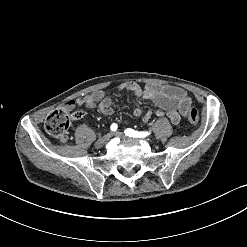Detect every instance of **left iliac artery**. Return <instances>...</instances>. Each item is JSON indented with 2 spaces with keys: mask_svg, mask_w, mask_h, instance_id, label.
Segmentation results:
<instances>
[{
  "mask_svg": "<svg viewBox=\"0 0 247 247\" xmlns=\"http://www.w3.org/2000/svg\"><path fill=\"white\" fill-rule=\"evenodd\" d=\"M125 135L126 136H129V137H133V138H144L146 136H148L150 134V132H138V131H135L133 129H126L124 131Z\"/></svg>",
  "mask_w": 247,
  "mask_h": 247,
  "instance_id": "44dca946",
  "label": "left iliac artery"
}]
</instances>
